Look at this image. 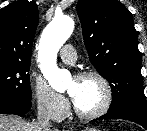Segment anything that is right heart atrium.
I'll use <instances>...</instances> for the list:
<instances>
[{
	"label": "right heart atrium",
	"instance_id": "1",
	"mask_svg": "<svg viewBox=\"0 0 147 131\" xmlns=\"http://www.w3.org/2000/svg\"><path fill=\"white\" fill-rule=\"evenodd\" d=\"M30 89L37 109L42 115L53 120H59L65 116L68 110L67 100L42 78L32 76Z\"/></svg>",
	"mask_w": 147,
	"mask_h": 131
}]
</instances>
